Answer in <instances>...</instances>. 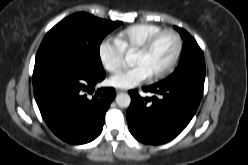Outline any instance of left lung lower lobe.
<instances>
[{"label":"left lung lower lobe","instance_id":"1","mask_svg":"<svg viewBox=\"0 0 248 165\" xmlns=\"http://www.w3.org/2000/svg\"><path fill=\"white\" fill-rule=\"evenodd\" d=\"M205 74L192 73L144 87L155 94L142 98L130 90L127 121L131 134L146 144H161L178 136L193 118L203 96Z\"/></svg>","mask_w":248,"mask_h":165}]
</instances>
